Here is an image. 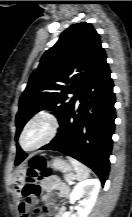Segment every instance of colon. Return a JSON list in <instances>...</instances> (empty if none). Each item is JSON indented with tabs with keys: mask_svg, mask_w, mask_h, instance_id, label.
I'll list each match as a JSON object with an SVG mask.
<instances>
[{
	"mask_svg": "<svg viewBox=\"0 0 132 217\" xmlns=\"http://www.w3.org/2000/svg\"><path fill=\"white\" fill-rule=\"evenodd\" d=\"M48 174L49 170L45 159L41 156H34L30 160V166L21 189V195L27 200H31L33 197L39 196L41 192L40 180L43 177H47Z\"/></svg>",
	"mask_w": 132,
	"mask_h": 217,
	"instance_id": "5ec220e1",
	"label": "colon"
}]
</instances>
